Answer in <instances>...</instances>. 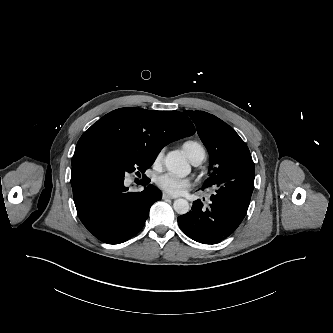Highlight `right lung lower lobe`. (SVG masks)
Segmentation results:
<instances>
[{
  "mask_svg": "<svg viewBox=\"0 0 333 333\" xmlns=\"http://www.w3.org/2000/svg\"><path fill=\"white\" fill-rule=\"evenodd\" d=\"M124 179L101 167L78 160L72 164L71 185L77 214L99 240L119 244L144 226L161 192L149 185L142 192H127Z\"/></svg>",
  "mask_w": 333,
  "mask_h": 333,
  "instance_id": "right-lung-lower-lobe-1",
  "label": "right lung lower lobe"
}]
</instances>
